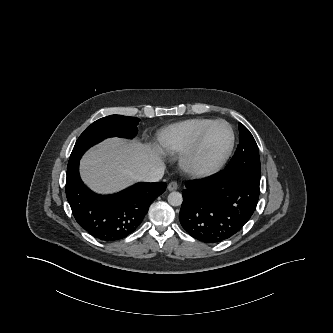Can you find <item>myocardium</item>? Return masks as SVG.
<instances>
[{"instance_id": "1", "label": "myocardium", "mask_w": 333, "mask_h": 333, "mask_svg": "<svg viewBox=\"0 0 333 333\" xmlns=\"http://www.w3.org/2000/svg\"><path fill=\"white\" fill-rule=\"evenodd\" d=\"M216 124H223L228 128L230 133L229 144L223 155L217 161H215L210 165H201L198 161L199 153L204 146V143L206 141V138L210 130ZM234 145H235V134L232 126L225 120L222 119L214 120L207 127L203 129V131L200 133L194 144L188 150L185 151L184 155L181 158V165L186 171L194 175L203 176V177L210 176L218 172L225 165V163L228 161L229 157L233 152Z\"/></svg>"}]
</instances>
